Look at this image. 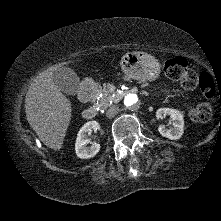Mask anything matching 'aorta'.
I'll return each instance as SVG.
<instances>
[{"instance_id": "aorta-1", "label": "aorta", "mask_w": 221, "mask_h": 221, "mask_svg": "<svg viewBox=\"0 0 221 221\" xmlns=\"http://www.w3.org/2000/svg\"><path fill=\"white\" fill-rule=\"evenodd\" d=\"M124 104L130 109H136L139 105V98L134 93L127 94L124 98Z\"/></svg>"}]
</instances>
